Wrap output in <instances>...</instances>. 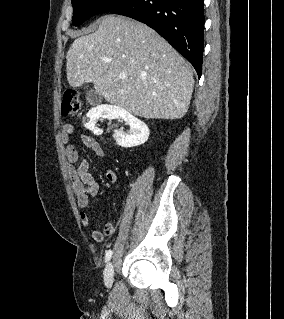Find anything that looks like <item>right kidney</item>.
Wrapping results in <instances>:
<instances>
[{"label":"right kidney","instance_id":"ca27d5eb","mask_svg":"<svg viewBox=\"0 0 284 319\" xmlns=\"http://www.w3.org/2000/svg\"><path fill=\"white\" fill-rule=\"evenodd\" d=\"M104 116L122 119L129 125L128 132L123 129L116 130L113 137L121 147H135L145 143L149 137L147 125L133 116L125 109L118 106H98L92 108L84 118V126L92 131H97L96 121Z\"/></svg>","mask_w":284,"mask_h":319}]
</instances>
